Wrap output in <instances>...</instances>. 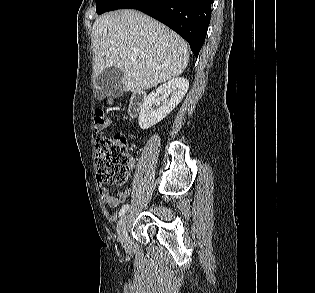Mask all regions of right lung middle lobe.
I'll return each mask as SVG.
<instances>
[{
	"instance_id": "obj_1",
	"label": "right lung middle lobe",
	"mask_w": 315,
	"mask_h": 293,
	"mask_svg": "<svg viewBox=\"0 0 315 293\" xmlns=\"http://www.w3.org/2000/svg\"><path fill=\"white\" fill-rule=\"evenodd\" d=\"M116 0H96V12L97 14H102L108 10V8L115 2Z\"/></svg>"
}]
</instances>
